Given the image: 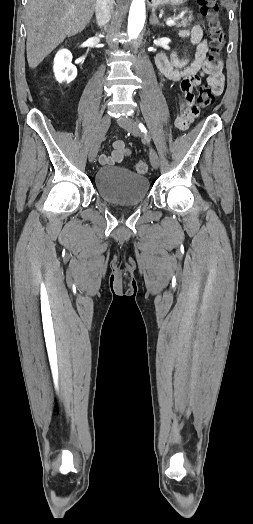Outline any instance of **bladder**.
<instances>
[{
    "label": "bladder",
    "mask_w": 253,
    "mask_h": 524,
    "mask_svg": "<svg viewBox=\"0 0 253 524\" xmlns=\"http://www.w3.org/2000/svg\"><path fill=\"white\" fill-rule=\"evenodd\" d=\"M95 187L100 197L112 205L140 204L149 193L146 176L119 166L101 167L95 175Z\"/></svg>",
    "instance_id": "obj_1"
}]
</instances>
